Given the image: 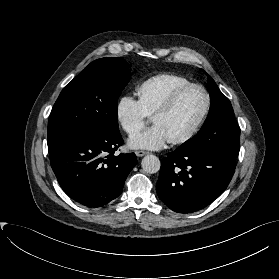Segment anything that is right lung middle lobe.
I'll list each match as a JSON object with an SVG mask.
<instances>
[{"mask_svg": "<svg viewBox=\"0 0 279 279\" xmlns=\"http://www.w3.org/2000/svg\"><path fill=\"white\" fill-rule=\"evenodd\" d=\"M130 65L115 57L91 62L64 87L48 123V148L73 138L118 131L117 101Z\"/></svg>", "mask_w": 279, "mask_h": 279, "instance_id": "dd1d6c3e", "label": "right lung middle lobe"}]
</instances>
